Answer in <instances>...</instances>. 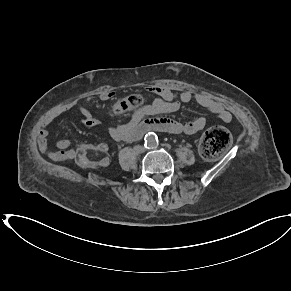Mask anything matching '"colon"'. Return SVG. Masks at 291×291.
Returning a JSON list of instances; mask_svg holds the SVG:
<instances>
[{
    "mask_svg": "<svg viewBox=\"0 0 291 291\" xmlns=\"http://www.w3.org/2000/svg\"><path fill=\"white\" fill-rule=\"evenodd\" d=\"M140 95H131L118 100L112 108L115 116L125 114L142 103ZM231 136L228 130L221 126L209 128L201 138L200 152L206 159L220 157L230 146ZM107 157L99 145L87 144L77 151V163L82 167H98L107 164Z\"/></svg>",
    "mask_w": 291,
    "mask_h": 291,
    "instance_id": "1",
    "label": "colon"
}]
</instances>
